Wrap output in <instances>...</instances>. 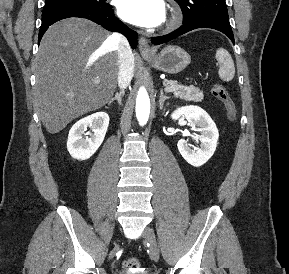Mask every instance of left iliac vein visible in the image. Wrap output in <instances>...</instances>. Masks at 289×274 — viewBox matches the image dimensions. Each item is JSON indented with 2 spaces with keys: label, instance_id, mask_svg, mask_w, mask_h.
Instances as JSON below:
<instances>
[{
  "label": "left iliac vein",
  "instance_id": "left-iliac-vein-1",
  "mask_svg": "<svg viewBox=\"0 0 289 274\" xmlns=\"http://www.w3.org/2000/svg\"><path fill=\"white\" fill-rule=\"evenodd\" d=\"M143 237L149 243L152 257L154 258V260L158 261L159 249H158L156 237H155L153 230L149 227H146L143 231Z\"/></svg>",
  "mask_w": 289,
  "mask_h": 274
}]
</instances>
